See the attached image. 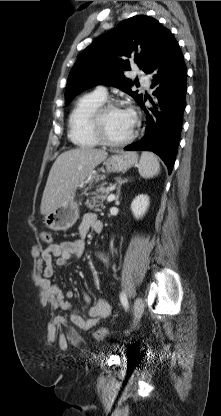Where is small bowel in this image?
<instances>
[{
  "instance_id": "c3829d8e",
  "label": "small bowel",
  "mask_w": 221,
  "mask_h": 416,
  "mask_svg": "<svg viewBox=\"0 0 221 416\" xmlns=\"http://www.w3.org/2000/svg\"><path fill=\"white\" fill-rule=\"evenodd\" d=\"M102 229L103 223L97 216L94 213H86L78 227L77 239L52 244L36 254V256L41 259L43 267L40 272L35 273L34 277L35 280L43 286L44 296L47 302L54 310L60 309L69 311L70 322L82 330H90L95 327L101 319L110 315L111 307L109 302L104 298H99L92 305H89L90 296L87 293H84L83 299L88 305V308L87 317H83L70 303V299L74 296L73 291H62L53 279V276L56 267L66 266L69 261L79 259L83 256L85 250L84 238L90 230L100 233ZM99 256L106 265L109 264V259L105 254H100ZM57 323L66 324L67 320L64 317H59Z\"/></svg>"
}]
</instances>
